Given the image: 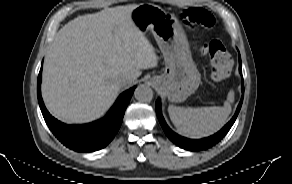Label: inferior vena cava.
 I'll return each instance as SVG.
<instances>
[{
  "label": "inferior vena cava",
  "mask_w": 292,
  "mask_h": 184,
  "mask_svg": "<svg viewBox=\"0 0 292 184\" xmlns=\"http://www.w3.org/2000/svg\"><path fill=\"white\" fill-rule=\"evenodd\" d=\"M129 82V79L126 78V77H120L117 81V84L122 87V86H125L126 84H128Z\"/></svg>",
  "instance_id": "obj_1"
}]
</instances>
